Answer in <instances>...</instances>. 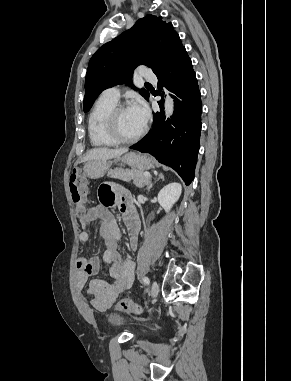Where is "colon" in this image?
<instances>
[{"label":"colon","mask_w":291,"mask_h":381,"mask_svg":"<svg viewBox=\"0 0 291 381\" xmlns=\"http://www.w3.org/2000/svg\"><path fill=\"white\" fill-rule=\"evenodd\" d=\"M69 189L71 194L72 203L79 216H82L86 212V197H85V184L81 175L74 171L69 180ZM101 202L108 203L107 196H100ZM115 308L119 311L133 314H142L143 307L131 299H121L117 302Z\"/></svg>","instance_id":"5ec220e1"}]
</instances>
